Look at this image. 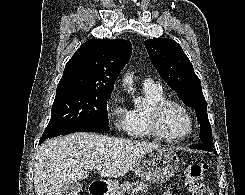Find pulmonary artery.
Returning <instances> with one entry per match:
<instances>
[{"label": "pulmonary artery", "mask_w": 245, "mask_h": 195, "mask_svg": "<svg viewBox=\"0 0 245 195\" xmlns=\"http://www.w3.org/2000/svg\"><path fill=\"white\" fill-rule=\"evenodd\" d=\"M143 88H147V87H161L160 83L155 82L152 79H146L143 81L142 83Z\"/></svg>", "instance_id": "obj_1"}]
</instances>
